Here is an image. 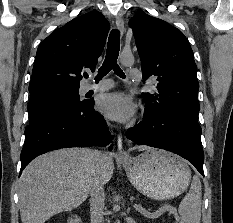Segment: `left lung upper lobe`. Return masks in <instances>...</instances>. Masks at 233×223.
<instances>
[{"label":"left lung upper lobe","mask_w":233,"mask_h":223,"mask_svg":"<svg viewBox=\"0 0 233 223\" xmlns=\"http://www.w3.org/2000/svg\"><path fill=\"white\" fill-rule=\"evenodd\" d=\"M141 59L143 78H155L153 93H144V115L198 116L199 83L193 51L184 34L167 22L137 13L129 22Z\"/></svg>","instance_id":"5c2ea615"}]
</instances>
